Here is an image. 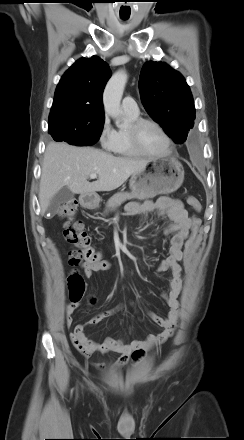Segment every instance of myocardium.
<instances>
[{"label":"myocardium","instance_id":"f54148a6","mask_svg":"<svg viewBox=\"0 0 244 440\" xmlns=\"http://www.w3.org/2000/svg\"><path fill=\"white\" fill-rule=\"evenodd\" d=\"M145 125L155 126L156 128L159 129V131L165 137V139L167 141V149L163 153L153 154V153L147 152L142 147V144L140 141V129ZM127 136H128L129 142H130L131 146L133 147V149L140 155H145V156H150V157H161V156H165V155L170 154L174 148L173 140H172L170 134L168 133V131L159 122H157L153 119L137 118V119L133 120L127 129Z\"/></svg>","mask_w":244,"mask_h":440}]
</instances>
